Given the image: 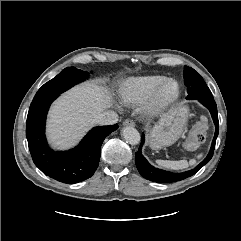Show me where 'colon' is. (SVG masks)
Segmentation results:
<instances>
[{"label": "colon", "mask_w": 241, "mask_h": 241, "mask_svg": "<svg viewBox=\"0 0 241 241\" xmlns=\"http://www.w3.org/2000/svg\"><path fill=\"white\" fill-rule=\"evenodd\" d=\"M207 130L208 120L202 117L190 130L185 147L189 150L197 149L204 142Z\"/></svg>", "instance_id": "5ec220e1"}]
</instances>
